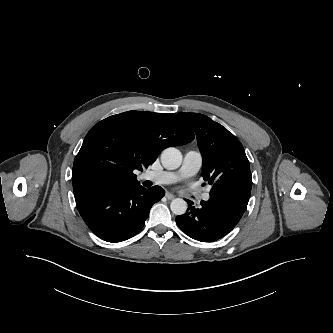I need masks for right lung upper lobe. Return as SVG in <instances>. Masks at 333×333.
Here are the masks:
<instances>
[{
	"instance_id": "right-lung-upper-lobe-1",
	"label": "right lung upper lobe",
	"mask_w": 333,
	"mask_h": 333,
	"mask_svg": "<svg viewBox=\"0 0 333 333\" xmlns=\"http://www.w3.org/2000/svg\"><path fill=\"white\" fill-rule=\"evenodd\" d=\"M193 139L191 127L176 114L128 111L110 116L86 135L73 164V190L140 186L134 170L148 167L165 148Z\"/></svg>"
}]
</instances>
